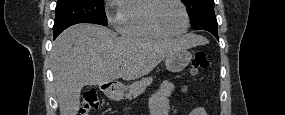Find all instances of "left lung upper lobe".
Returning a JSON list of instances; mask_svg holds the SVG:
<instances>
[{"label":"left lung upper lobe","mask_w":285,"mask_h":115,"mask_svg":"<svg viewBox=\"0 0 285 115\" xmlns=\"http://www.w3.org/2000/svg\"><path fill=\"white\" fill-rule=\"evenodd\" d=\"M182 2L187 7L193 29L204 21L216 18L213 0H182Z\"/></svg>","instance_id":"1"}]
</instances>
